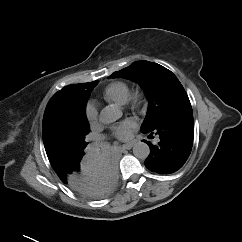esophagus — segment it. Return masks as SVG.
I'll return each instance as SVG.
<instances>
[{
  "instance_id": "esophagus-1",
  "label": "esophagus",
  "mask_w": 242,
  "mask_h": 242,
  "mask_svg": "<svg viewBox=\"0 0 242 242\" xmlns=\"http://www.w3.org/2000/svg\"><path fill=\"white\" fill-rule=\"evenodd\" d=\"M134 143H127L122 145V150H130L133 147Z\"/></svg>"
}]
</instances>
